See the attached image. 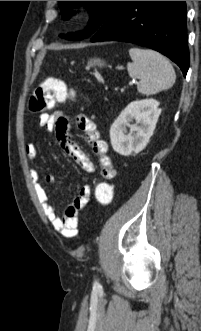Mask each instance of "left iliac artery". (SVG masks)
Wrapping results in <instances>:
<instances>
[{"mask_svg": "<svg viewBox=\"0 0 201 331\" xmlns=\"http://www.w3.org/2000/svg\"><path fill=\"white\" fill-rule=\"evenodd\" d=\"M101 286L98 281L94 282V289H99Z\"/></svg>", "mask_w": 201, "mask_h": 331, "instance_id": "left-iliac-artery-1", "label": "left iliac artery"}]
</instances>
